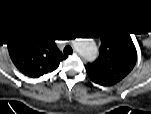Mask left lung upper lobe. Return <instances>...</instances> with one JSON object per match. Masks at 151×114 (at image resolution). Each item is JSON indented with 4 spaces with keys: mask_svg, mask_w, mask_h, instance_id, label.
Wrapping results in <instances>:
<instances>
[{
    "mask_svg": "<svg viewBox=\"0 0 151 114\" xmlns=\"http://www.w3.org/2000/svg\"><path fill=\"white\" fill-rule=\"evenodd\" d=\"M136 57L125 41L103 34L100 55L86 66L90 79L98 84L112 85L122 80L134 67Z\"/></svg>",
    "mask_w": 151,
    "mask_h": 114,
    "instance_id": "obj_1",
    "label": "left lung upper lobe"
}]
</instances>
